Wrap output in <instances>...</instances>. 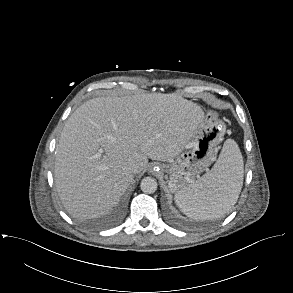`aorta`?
Returning a JSON list of instances; mask_svg holds the SVG:
<instances>
[{
	"mask_svg": "<svg viewBox=\"0 0 293 293\" xmlns=\"http://www.w3.org/2000/svg\"><path fill=\"white\" fill-rule=\"evenodd\" d=\"M157 187V181L152 177H145L140 183L141 190L146 194H153L157 190Z\"/></svg>",
	"mask_w": 293,
	"mask_h": 293,
	"instance_id": "1",
	"label": "aorta"
}]
</instances>
